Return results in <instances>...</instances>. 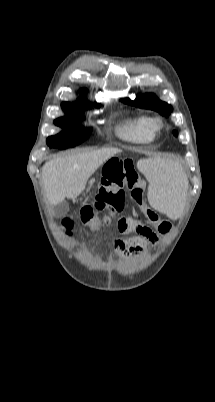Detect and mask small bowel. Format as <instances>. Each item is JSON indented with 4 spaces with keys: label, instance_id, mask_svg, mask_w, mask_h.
<instances>
[{
    "label": "small bowel",
    "instance_id": "obj_1",
    "mask_svg": "<svg viewBox=\"0 0 215 402\" xmlns=\"http://www.w3.org/2000/svg\"><path fill=\"white\" fill-rule=\"evenodd\" d=\"M136 227L121 230L122 233L136 232L139 236L126 240L116 239L111 242L113 249L124 257H133L143 254L149 245L159 242L156 233L149 227L137 221Z\"/></svg>",
    "mask_w": 215,
    "mask_h": 402
}]
</instances>
